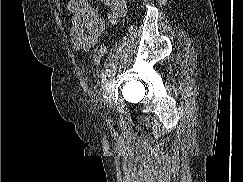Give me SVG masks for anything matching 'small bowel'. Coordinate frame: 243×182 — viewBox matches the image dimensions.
Here are the masks:
<instances>
[{
	"instance_id": "c3829d8e",
	"label": "small bowel",
	"mask_w": 243,
	"mask_h": 182,
	"mask_svg": "<svg viewBox=\"0 0 243 182\" xmlns=\"http://www.w3.org/2000/svg\"><path fill=\"white\" fill-rule=\"evenodd\" d=\"M98 1L110 8L108 16L110 22H117L126 13L127 0ZM68 10L72 15L70 36L73 49H90L103 34L105 29L104 21L89 0H69Z\"/></svg>"
}]
</instances>
